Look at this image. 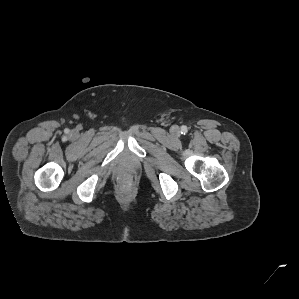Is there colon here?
<instances>
[{
  "mask_svg": "<svg viewBox=\"0 0 299 299\" xmlns=\"http://www.w3.org/2000/svg\"><path fill=\"white\" fill-rule=\"evenodd\" d=\"M125 177H126V178H129V177H130V175L127 173V174H125Z\"/></svg>",
  "mask_w": 299,
  "mask_h": 299,
  "instance_id": "colon-1",
  "label": "colon"
}]
</instances>
